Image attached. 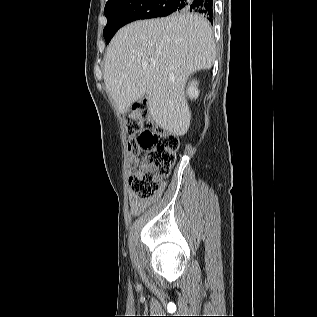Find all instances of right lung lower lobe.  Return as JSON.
<instances>
[{"label":"right lung lower lobe","instance_id":"1","mask_svg":"<svg viewBox=\"0 0 317 317\" xmlns=\"http://www.w3.org/2000/svg\"><path fill=\"white\" fill-rule=\"evenodd\" d=\"M178 12H196L205 15L212 23L213 0H174Z\"/></svg>","mask_w":317,"mask_h":317}]
</instances>
